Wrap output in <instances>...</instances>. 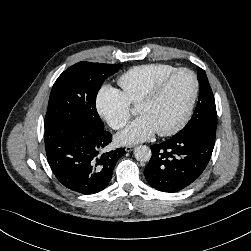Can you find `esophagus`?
<instances>
[{
  "instance_id": "34e87169",
  "label": "esophagus",
  "mask_w": 251,
  "mask_h": 251,
  "mask_svg": "<svg viewBox=\"0 0 251 251\" xmlns=\"http://www.w3.org/2000/svg\"><path fill=\"white\" fill-rule=\"evenodd\" d=\"M134 148H135L134 145H128V146L125 147V151H126V152H130V151H132Z\"/></svg>"
}]
</instances>
